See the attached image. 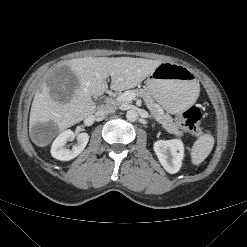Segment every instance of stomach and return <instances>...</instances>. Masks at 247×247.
I'll return each mask as SVG.
<instances>
[{
    "label": "stomach",
    "mask_w": 247,
    "mask_h": 247,
    "mask_svg": "<svg viewBox=\"0 0 247 247\" xmlns=\"http://www.w3.org/2000/svg\"><path fill=\"white\" fill-rule=\"evenodd\" d=\"M146 88L152 97L170 114H179L195 103L199 83L187 67L162 62L147 77Z\"/></svg>",
    "instance_id": "stomach-1"
}]
</instances>
